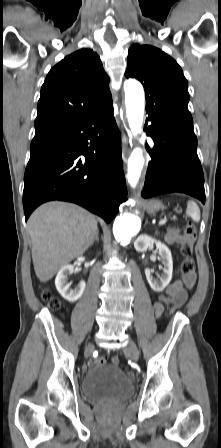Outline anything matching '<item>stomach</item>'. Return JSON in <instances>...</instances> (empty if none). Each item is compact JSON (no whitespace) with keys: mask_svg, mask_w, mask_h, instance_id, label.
<instances>
[{"mask_svg":"<svg viewBox=\"0 0 221 448\" xmlns=\"http://www.w3.org/2000/svg\"><path fill=\"white\" fill-rule=\"evenodd\" d=\"M163 208V204L157 200H152L146 205V210L149 214H154Z\"/></svg>","mask_w":221,"mask_h":448,"instance_id":"obj_1","label":"stomach"}]
</instances>
